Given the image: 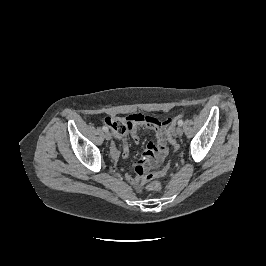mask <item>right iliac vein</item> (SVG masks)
Wrapping results in <instances>:
<instances>
[{"label": "right iliac vein", "instance_id": "1", "mask_svg": "<svg viewBox=\"0 0 266 266\" xmlns=\"http://www.w3.org/2000/svg\"><path fill=\"white\" fill-rule=\"evenodd\" d=\"M104 137L106 140H110L112 138V135L109 131H106L105 134H104Z\"/></svg>", "mask_w": 266, "mask_h": 266}]
</instances>
